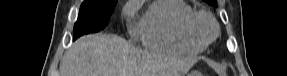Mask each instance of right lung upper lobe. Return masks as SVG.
<instances>
[{
    "label": "right lung upper lobe",
    "mask_w": 287,
    "mask_h": 76,
    "mask_svg": "<svg viewBox=\"0 0 287 76\" xmlns=\"http://www.w3.org/2000/svg\"><path fill=\"white\" fill-rule=\"evenodd\" d=\"M85 1H94V0H85Z\"/></svg>",
    "instance_id": "right-lung-upper-lobe-1"
}]
</instances>
